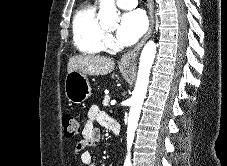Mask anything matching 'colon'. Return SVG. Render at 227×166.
I'll return each mask as SVG.
<instances>
[{
    "instance_id": "obj_1",
    "label": "colon",
    "mask_w": 227,
    "mask_h": 166,
    "mask_svg": "<svg viewBox=\"0 0 227 166\" xmlns=\"http://www.w3.org/2000/svg\"><path fill=\"white\" fill-rule=\"evenodd\" d=\"M62 126L66 138H73L80 131L78 119L74 115H64L62 118Z\"/></svg>"
}]
</instances>
